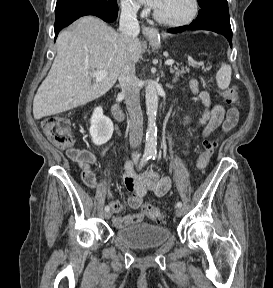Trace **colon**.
<instances>
[{"mask_svg": "<svg viewBox=\"0 0 273 288\" xmlns=\"http://www.w3.org/2000/svg\"><path fill=\"white\" fill-rule=\"evenodd\" d=\"M223 98L228 103L238 102V92L235 87L225 89L221 92ZM42 129L46 137L58 148L68 149L75 141V136L71 130L70 121L62 116H50L42 121ZM216 140H207L204 142V149L197 160V168L203 171L209 164L217 148ZM143 212L153 221L161 223L164 221L165 216L163 212L157 207L145 203L142 206Z\"/></svg>", "mask_w": 273, "mask_h": 288, "instance_id": "obj_1", "label": "colon"}]
</instances>
